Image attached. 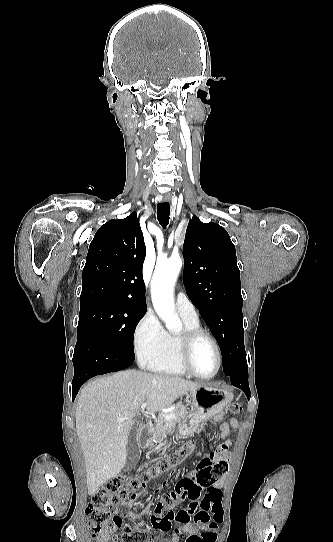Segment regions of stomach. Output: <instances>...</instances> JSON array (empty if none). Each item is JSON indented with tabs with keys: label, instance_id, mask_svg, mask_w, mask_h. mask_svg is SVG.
Returning <instances> with one entry per match:
<instances>
[{
	"label": "stomach",
	"instance_id": "1",
	"mask_svg": "<svg viewBox=\"0 0 333 542\" xmlns=\"http://www.w3.org/2000/svg\"><path fill=\"white\" fill-rule=\"evenodd\" d=\"M187 396L190 398L192 406L191 418H189L188 422H183L178 429L181 438L189 441L199 436L198 426L200 424H205L213 416L222 414L225 406L233 398L226 390L210 388V386H203V384L198 390H191ZM174 436L177 438L179 435L176 433ZM151 442L152 434H145L143 438L144 448H147Z\"/></svg>",
	"mask_w": 333,
	"mask_h": 542
}]
</instances>
